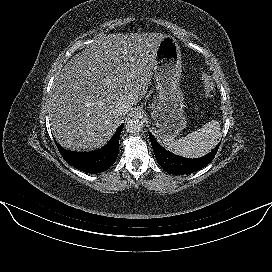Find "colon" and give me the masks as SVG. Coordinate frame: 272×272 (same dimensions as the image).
<instances>
[{"label":"colon","instance_id":"1","mask_svg":"<svg viewBox=\"0 0 272 272\" xmlns=\"http://www.w3.org/2000/svg\"><path fill=\"white\" fill-rule=\"evenodd\" d=\"M203 96L210 97L213 95L215 87L211 78L207 75H203Z\"/></svg>","mask_w":272,"mask_h":272}]
</instances>
